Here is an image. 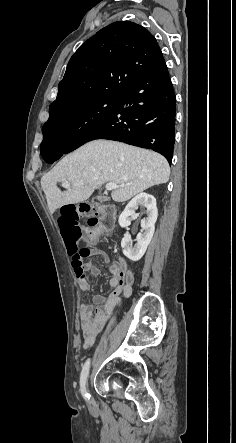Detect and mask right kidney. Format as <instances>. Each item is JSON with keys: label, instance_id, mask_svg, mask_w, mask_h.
<instances>
[{"label": "right kidney", "instance_id": "ca27d5eb", "mask_svg": "<svg viewBox=\"0 0 236 443\" xmlns=\"http://www.w3.org/2000/svg\"><path fill=\"white\" fill-rule=\"evenodd\" d=\"M138 206L146 208L147 218L141 220V232L136 237V244L133 246L130 235L124 236L121 241L123 254L132 261H138L145 254L148 245L155 230V222L157 220L158 211L156 207V199L147 193H140L135 196L125 207L119 217V225L122 228L131 224V219L136 216L135 210Z\"/></svg>", "mask_w": 236, "mask_h": 443}]
</instances>
